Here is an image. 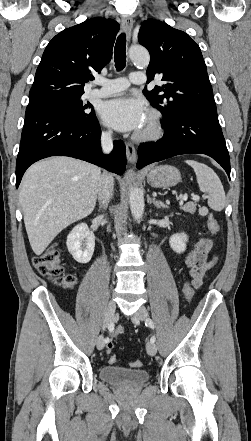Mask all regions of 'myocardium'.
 Wrapping results in <instances>:
<instances>
[{"instance_id": "1", "label": "myocardium", "mask_w": 251, "mask_h": 441, "mask_svg": "<svg viewBox=\"0 0 251 441\" xmlns=\"http://www.w3.org/2000/svg\"><path fill=\"white\" fill-rule=\"evenodd\" d=\"M148 124L144 131L136 135L139 141H153L159 139L164 132L161 115L156 110H150L147 115Z\"/></svg>"}]
</instances>
